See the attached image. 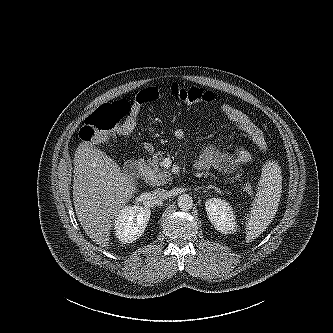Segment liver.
Here are the masks:
<instances>
[{"instance_id":"6515ba94","label":"liver","mask_w":333,"mask_h":333,"mask_svg":"<svg viewBox=\"0 0 333 333\" xmlns=\"http://www.w3.org/2000/svg\"><path fill=\"white\" fill-rule=\"evenodd\" d=\"M73 202L77 218L93 242L107 248L113 220L134 196L131 176L90 142L74 154Z\"/></svg>"}]
</instances>
